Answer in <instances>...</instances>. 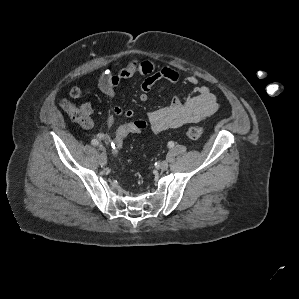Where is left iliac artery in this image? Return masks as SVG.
Here are the masks:
<instances>
[{
    "label": "left iliac artery",
    "instance_id": "1",
    "mask_svg": "<svg viewBox=\"0 0 299 299\" xmlns=\"http://www.w3.org/2000/svg\"><path fill=\"white\" fill-rule=\"evenodd\" d=\"M168 147L173 148L174 147V142H172V141L168 142Z\"/></svg>",
    "mask_w": 299,
    "mask_h": 299
}]
</instances>
